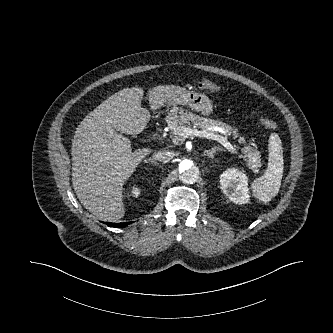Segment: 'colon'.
Returning a JSON list of instances; mask_svg holds the SVG:
<instances>
[{"label":"colon","mask_w":333,"mask_h":333,"mask_svg":"<svg viewBox=\"0 0 333 333\" xmlns=\"http://www.w3.org/2000/svg\"><path fill=\"white\" fill-rule=\"evenodd\" d=\"M198 87L202 90H206V91H210V92H217L220 89L218 84H216L215 82L208 80V79H202L198 83ZM258 123L269 130L274 131V130L278 129V125L275 121L265 118V117H260L258 119Z\"/></svg>","instance_id":"colon-1"}]
</instances>
